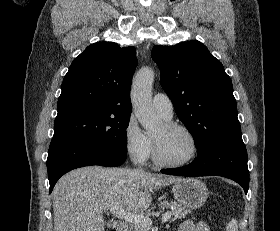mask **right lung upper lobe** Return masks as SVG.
I'll list each match as a JSON object with an SVG mask.
<instances>
[{
	"instance_id": "obj_1",
	"label": "right lung upper lobe",
	"mask_w": 280,
	"mask_h": 231,
	"mask_svg": "<svg viewBox=\"0 0 280 231\" xmlns=\"http://www.w3.org/2000/svg\"><path fill=\"white\" fill-rule=\"evenodd\" d=\"M136 49L97 42L74 59L62 83L55 121L100 114H131Z\"/></svg>"
}]
</instances>
